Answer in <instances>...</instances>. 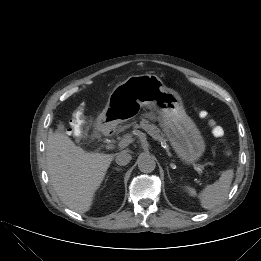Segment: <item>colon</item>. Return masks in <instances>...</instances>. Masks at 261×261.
<instances>
[{"mask_svg": "<svg viewBox=\"0 0 261 261\" xmlns=\"http://www.w3.org/2000/svg\"><path fill=\"white\" fill-rule=\"evenodd\" d=\"M199 115L201 117H205L206 116V112L205 111H201L199 113ZM209 125H210V128H211V133L212 135L215 137V138H218L220 140L223 139V136H224V130L222 127H220L219 125H217L214 121H209Z\"/></svg>", "mask_w": 261, "mask_h": 261, "instance_id": "5ec220e1", "label": "colon"}]
</instances>
